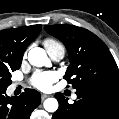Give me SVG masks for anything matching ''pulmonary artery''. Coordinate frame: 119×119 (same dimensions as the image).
Here are the masks:
<instances>
[{
    "label": "pulmonary artery",
    "instance_id": "pulmonary-artery-1",
    "mask_svg": "<svg viewBox=\"0 0 119 119\" xmlns=\"http://www.w3.org/2000/svg\"><path fill=\"white\" fill-rule=\"evenodd\" d=\"M47 51H48V54L51 57V59L56 61V62L62 60L64 58V55H65V49L61 45L47 49ZM18 84H19L18 82H15L12 85V89H15ZM76 97H77L76 94L72 95L73 99H76Z\"/></svg>",
    "mask_w": 119,
    "mask_h": 119
}]
</instances>
